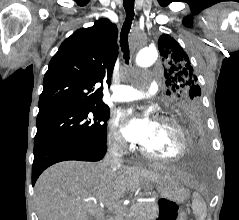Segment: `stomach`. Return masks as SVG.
Instances as JSON below:
<instances>
[{
  "label": "stomach",
  "instance_id": "1",
  "mask_svg": "<svg viewBox=\"0 0 239 220\" xmlns=\"http://www.w3.org/2000/svg\"><path fill=\"white\" fill-rule=\"evenodd\" d=\"M156 190L161 197L159 220H185V205L179 204L187 199L188 192L182 183L161 182L157 184Z\"/></svg>",
  "mask_w": 239,
  "mask_h": 220
}]
</instances>
